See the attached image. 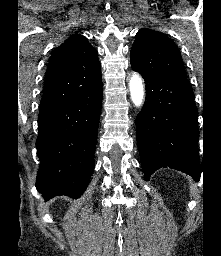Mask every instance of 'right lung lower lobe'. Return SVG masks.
<instances>
[{"instance_id":"obj_1","label":"right lung lower lobe","mask_w":221,"mask_h":256,"mask_svg":"<svg viewBox=\"0 0 221 256\" xmlns=\"http://www.w3.org/2000/svg\"><path fill=\"white\" fill-rule=\"evenodd\" d=\"M101 103L102 87L39 111L36 188L46 200L60 195L77 199L86 190L94 170Z\"/></svg>"}]
</instances>
